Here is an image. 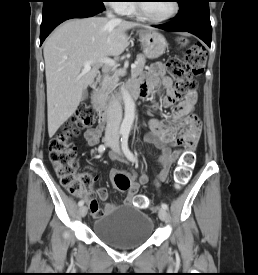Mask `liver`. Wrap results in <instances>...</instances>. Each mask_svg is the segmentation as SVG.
I'll return each instance as SVG.
<instances>
[{"instance_id":"6515ba94","label":"liver","mask_w":258,"mask_h":275,"mask_svg":"<svg viewBox=\"0 0 258 275\" xmlns=\"http://www.w3.org/2000/svg\"><path fill=\"white\" fill-rule=\"evenodd\" d=\"M146 25L109 18L71 19L53 31L44 44L48 133L52 137L77 109L96 67L108 56H120L128 46L126 31ZM93 69L84 73V64Z\"/></svg>"}]
</instances>
